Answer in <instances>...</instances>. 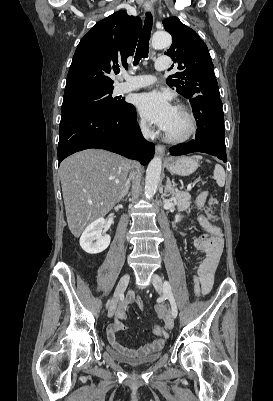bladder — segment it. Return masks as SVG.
I'll use <instances>...</instances> for the list:
<instances>
[{"label":"bladder","mask_w":273,"mask_h":401,"mask_svg":"<svg viewBox=\"0 0 273 401\" xmlns=\"http://www.w3.org/2000/svg\"><path fill=\"white\" fill-rule=\"evenodd\" d=\"M107 352L110 355V357L122 364L131 366V367H138V366H144V365H150L154 362H156L160 356H161V350H158L154 353H152L151 355H148L142 359H129L127 357H125L124 355L118 353L117 351H115L112 347H107Z\"/></svg>","instance_id":"31cf9c89"}]
</instances>
